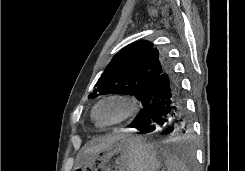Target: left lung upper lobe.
I'll return each mask as SVG.
<instances>
[{
	"label": "left lung upper lobe",
	"instance_id": "left-lung-upper-lobe-1",
	"mask_svg": "<svg viewBox=\"0 0 245 171\" xmlns=\"http://www.w3.org/2000/svg\"><path fill=\"white\" fill-rule=\"evenodd\" d=\"M167 67L165 59L153 43L140 40L120 50L111 60L88 96L122 93L139 101L145 88Z\"/></svg>",
	"mask_w": 245,
	"mask_h": 171
}]
</instances>
